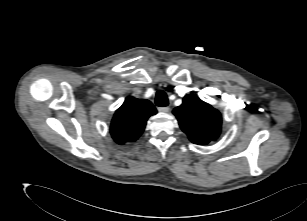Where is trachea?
<instances>
[{
    "mask_svg": "<svg viewBox=\"0 0 307 221\" xmlns=\"http://www.w3.org/2000/svg\"><path fill=\"white\" fill-rule=\"evenodd\" d=\"M168 98L163 90H159L155 96V104L159 107H165L168 105Z\"/></svg>",
    "mask_w": 307,
    "mask_h": 221,
    "instance_id": "3493384b",
    "label": "trachea"
}]
</instances>
